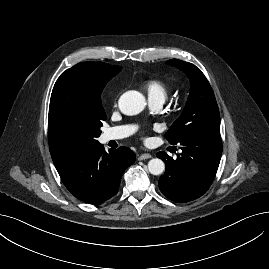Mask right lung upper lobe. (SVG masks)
<instances>
[{"instance_id":"cb5924a9","label":"right lung upper lobe","mask_w":269,"mask_h":269,"mask_svg":"<svg viewBox=\"0 0 269 269\" xmlns=\"http://www.w3.org/2000/svg\"><path fill=\"white\" fill-rule=\"evenodd\" d=\"M75 67L85 69L87 76L79 81L63 85L66 96L73 101L96 99L106 83L121 70L120 66H112L103 62H82Z\"/></svg>"}]
</instances>
